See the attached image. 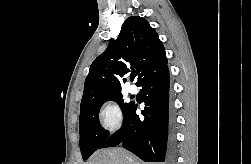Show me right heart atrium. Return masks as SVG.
<instances>
[{"label":"right heart atrium","instance_id":"1","mask_svg":"<svg viewBox=\"0 0 251 164\" xmlns=\"http://www.w3.org/2000/svg\"><path fill=\"white\" fill-rule=\"evenodd\" d=\"M98 119L101 128L108 134L116 133L123 125L122 111L114 102H108L102 106Z\"/></svg>","mask_w":251,"mask_h":164}]
</instances>
